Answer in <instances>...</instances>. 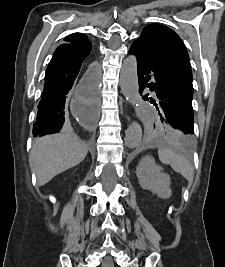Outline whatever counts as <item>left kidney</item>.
<instances>
[{
	"label": "left kidney",
	"instance_id": "1",
	"mask_svg": "<svg viewBox=\"0 0 225 267\" xmlns=\"http://www.w3.org/2000/svg\"><path fill=\"white\" fill-rule=\"evenodd\" d=\"M136 175L141 188L149 190L163 199L171 196V178L162 172V168L155 163L153 157L142 158L137 166Z\"/></svg>",
	"mask_w": 225,
	"mask_h": 267
}]
</instances>
